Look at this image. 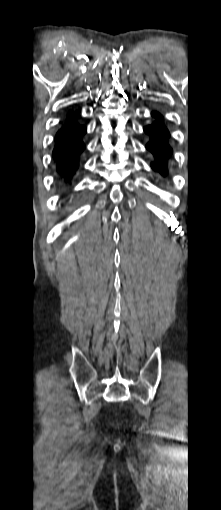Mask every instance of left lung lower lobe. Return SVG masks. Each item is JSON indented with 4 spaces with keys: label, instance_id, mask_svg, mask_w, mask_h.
I'll list each match as a JSON object with an SVG mask.
<instances>
[{
    "label": "left lung lower lobe",
    "instance_id": "obj_1",
    "mask_svg": "<svg viewBox=\"0 0 221 510\" xmlns=\"http://www.w3.org/2000/svg\"><path fill=\"white\" fill-rule=\"evenodd\" d=\"M144 131L151 138L149 143L146 145V148L155 156V161L151 164V167L155 171L159 172L162 176H166L168 173L166 167L167 160L172 154V149L170 148L167 141L170 136L169 131L162 123L158 121L145 127Z\"/></svg>",
    "mask_w": 221,
    "mask_h": 510
}]
</instances>
